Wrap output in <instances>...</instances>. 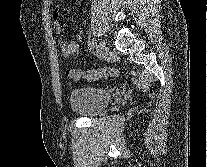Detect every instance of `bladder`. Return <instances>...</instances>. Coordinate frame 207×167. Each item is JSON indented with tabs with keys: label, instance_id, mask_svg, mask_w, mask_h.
<instances>
[{
	"label": "bladder",
	"instance_id": "1",
	"mask_svg": "<svg viewBox=\"0 0 207 167\" xmlns=\"http://www.w3.org/2000/svg\"><path fill=\"white\" fill-rule=\"evenodd\" d=\"M111 98V93L106 89L78 87L70 92L69 105L77 116L93 118L107 107Z\"/></svg>",
	"mask_w": 207,
	"mask_h": 167
}]
</instances>
